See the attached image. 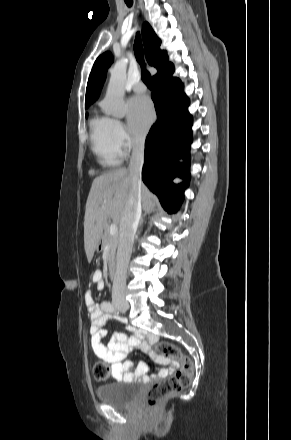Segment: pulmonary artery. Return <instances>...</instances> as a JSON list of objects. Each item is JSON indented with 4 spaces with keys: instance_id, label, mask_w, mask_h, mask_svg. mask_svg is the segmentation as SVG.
I'll use <instances>...</instances> for the list:
<instances>
[{
    "instance_id": "e3ab8cb5",
    "label": "pulmonary artery",
    "mask_w": 291,
    "mask_h": 440,
    "mask_svg": "<svg viewBox=\"0 0 291 440\" xmlns=\"http://www.w3.org/2000/svg\"><path fill=\"white\" fill-rule=\"evenodd\" d=\"M134 92L141 94L144 93L146 91V85L143 81H138L134 87H133Z\"/></svg>"
}]
</instances>
